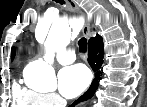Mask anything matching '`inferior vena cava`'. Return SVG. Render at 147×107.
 <instances>
[{"instance_id":"602c4592","label":"inferior vena cava","mask_w":147,"mask_h":107,"mask_svg":"<svg viewBox=\"0 0 147 107\" xmlns=\"http://www.w3.org/2000/svg\"><path fill=\"white\" fill-rule=\"evenodd\" d=\"M65 106H66V100L61 99L58 103V106H56V107H65Z\"/></svg>"}]
</instances>
